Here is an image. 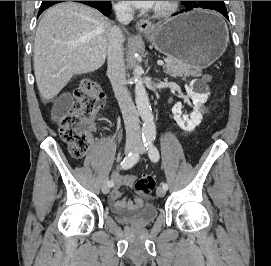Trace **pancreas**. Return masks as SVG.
Masks as SVG:
<instances>
[{
  "mask_svg": "<svg viewBox=\"0 0 271 266\" xmlns=\"http://www.w3.org/2000/svg\"><path fill=\"white\" fill-rule=\"evenodd\" d=\"M163 70L166 74L177 77V76H200L201 70L195 68L191 70V66L187 63H184L176 58H168Z\"/></svg>",
  "mask_w": 271,
  "mask_h": 266,
  "instance_id": "cf45deb5",
  "label": "pancreas"
}]
</instances>
